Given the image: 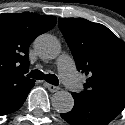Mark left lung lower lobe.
Returning <instances> with one entry per match:
<instances>
[{"label": "left lung lower lobe", "mask_w": 125, "mask_h": 125, "mask_svg": "<svg viewBox=\"0 0 125 125\" xmlns=\"http://www.w3.org/2000/svg\"><path fill=\"white\" fill-rule=\"evenodd\" d=\"M73 109L60 116L71 125H107L125 107V102L116 99H85L81 94L72 93Z\"/></svg>", "instance_id": "obj_1"}]
</instances>
